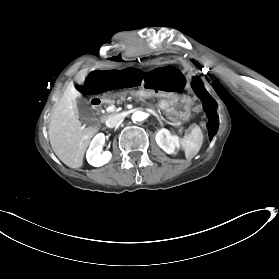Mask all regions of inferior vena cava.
<instances>
[{
    "label": "inferior vena cava",
    "instance_id": "1",
    "mask_svg": "<svg viewBox=\"0 0 279 279\" xmlns=\"http://www.w3.org/2000/svg\"><path fill=\"white\" fill-rule=\"evenodd\" d=\"M110 117V116H109ZM123 119V117H121V115L117 114L114 115L110 118H108V120H106V125L110 128H113L115 126H117V124Z\"/></svg>",
    "mask_w": 279,
    "mask_h": 279
}]
</instances>
